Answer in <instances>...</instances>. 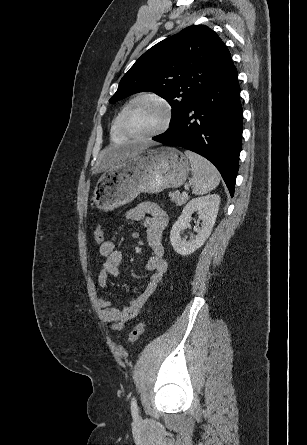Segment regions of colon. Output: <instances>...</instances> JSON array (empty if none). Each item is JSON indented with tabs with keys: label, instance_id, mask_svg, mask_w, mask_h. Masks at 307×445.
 <instances>
[{
	"label": "colon",
	"instance_id": "1",
	"mask_svg": "<svg viewBox=\"0 0 307 445\" xmlns=\"http://www.w3.org/2000/svg\"><path fill=\"white\" fill-rule=\"evenodd\" d=\"M104 237H105L104 228L101 224H98L94 230L95 243L102 244L104 242ZM144 327L145 325L142 321L136 324V326L132 329V331L129 334L128 337L129 344H133L139 339V337L142 335L144 331Z\"/></svg>",
	"mask_w": 307,
	"mask_h": 445
}]
</instances>
